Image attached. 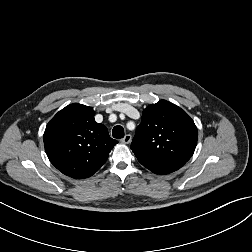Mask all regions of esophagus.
I'll return each instance as SVG.
<instances>
[{
	"mask_svg": "<svg viewBox=\"0 0 252 252\" xmlns=\"http://www.w3.org/2000/svg\"><path fill=\"white\" fill-rule=\"evenodd\" d=\"M132 140V136L130 134L125 135V137L121 140L124 144H129Z\"/></svg>",
	"mask_w": 252,
	"mask_h": 252,
	"instance_id": "esophagus-1",
	"label": "esophagus"
}]
</instances>
